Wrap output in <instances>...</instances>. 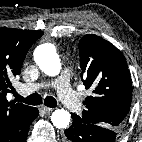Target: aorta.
Returning <instances> with one entry per match:
<instances>
[{
	"label": "aorta",
	"mask_w": 142,
	"mask_h": 142,
	"mask_svg": "<svg viewBox=\"0 0 142 142\" xmlns=\"http://www.w3.org/2000/svg\"><path fill=\"white\" fill-rule=\"evenodd\" d=\"M34 60L39 68L48 76H56L61 70V61L53 44L39 45L34 52ZM71 120L67 110L57 109L51 116L53 125L58 129L66 128Z\"/></svg>",
	"instance_id": "1"
}]
</instances>
